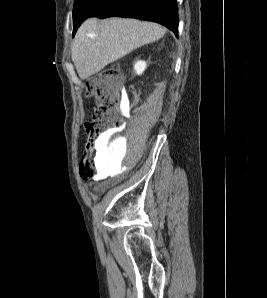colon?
Masks as SVG:
<instances>
[{"instance_id":"obj_1","label":"colon","mask_w":267,"mask_h":298,"mask_svg":"<svg viewBox=\"0 0 267 298\" xmlns=\"http://www.w3.org/2000/svg\"><path fill=\"white\" fill-rule=\"evenodd\" d=\"M120 88V73L113 68L102 71L88 82L87 94L94 96L95 105L91 119L85 124L87 143L79 165L83 179H91L98 174L96 155L103 136L109 129L122 124L118 109Z\"/></svg>"}]
</instances>
